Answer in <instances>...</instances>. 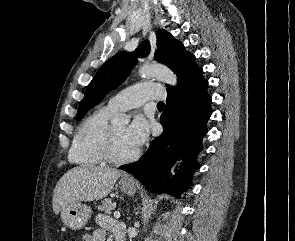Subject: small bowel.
<instances>
[{"label": "small bowel", "instance_id": "obj_1", "mask_svg": "<svg viewBox=\"0 0 295 241\" xmlns=\"http://www.w3.org/2000/svg\"><path fill=\"white\" fill-rule=\"evenodd\" d=\"M97 230L92 234L86 235L84 241H106L107 233L112 234L117 239L123 235V226L106 214H98L96 216Z\"/></svg>", "mask_w": 295, "mask_h": 241}]
</instances>
